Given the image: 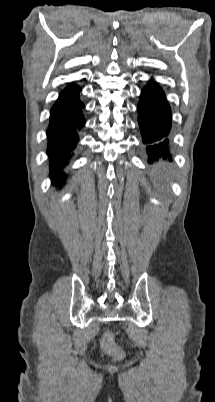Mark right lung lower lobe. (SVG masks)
Returning a JSON list of instances; mask_svg holds the SVG:
<instances>
[{
    "mask_svg": "<svg viewBox=\"0 0 215 402\" xmlns=\"http://www.w3.org/2000/svg\"><path fill=\"white\" fill-rule=\"evenodd\" d=\"M80 90L76 84L67 86L50 111L47 154L50 160V177L56 185L64 183L66 179L62 167L68 163L79 140L78 132L86 123L83 115L84 103L79 98Z\"/></svg>",
    "mask_w": 215,
    "mask_h": 402,
    "instance_id": "obj_1",
    "label": "right lung lower lobe"
}]
</instances>
